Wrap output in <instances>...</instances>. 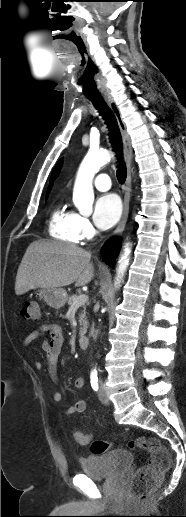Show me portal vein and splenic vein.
Here are the masks:
<instances>
[{
    "label": "portal vein and splenic vein",
    "instance_id": "1",
    "mask_svg": "<svg viewBox=\"0 0 186 517\" xmlns=\"http://www.w3.org/2000/svg\"><path fill=\"white\" fill-rule=\"evenodd\" d=\"M88 300L87 295L82 294L77 299L74 300L72 307H79L84 304Z\"/></svg>",
    "mask_w": 186,
    "mask_h": 517
}]
</instances>
